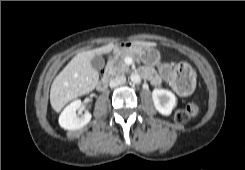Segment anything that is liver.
Returning a JSON list of instances; mask_svg holds the SVG:
<instances>
[{"instance_id":"liver-1","label":"liver","mask_w":245,"mask_h":170,"mask_svg":"<svg viewBox=\"0 0 245 170\" xmlns=\"http://www.w3.org/2000/svg\"><path fill=\"white\" fill-rule=\"evenodd\" d=\"M142 47H155L154 42L134 41ZM115 45H108L78 53L55 77L50 89V103L54 111L60 112L71 100L85 95L98 84L99 73L92 67L91 60L95 55L107 54Z\"/></svg>"}]
</instances>
